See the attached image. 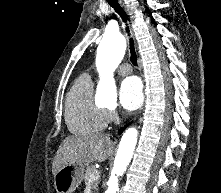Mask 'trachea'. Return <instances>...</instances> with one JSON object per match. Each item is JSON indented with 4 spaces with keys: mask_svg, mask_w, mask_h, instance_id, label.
Returning a JSON list of instances; mask_svg holds the SVG:
<instances>
[{
    "mask_svg": "<svg viewBox=\"0 0 221 193\" xmlns=\"http://www.w3.org/2000/svg\"><path fill=\"white\" fill-rule=\"evenodd\" d=\"M107 2L120 15L123 22H125L126 26H127V15L124 12V10L120 7V5L118 4V1L117 0H107ZM126 31H127L128 35L130 36L128 26L126 27ZM129 43H130V52H131V62L134 66H137V56L135 53L134 41L132 38L129 39Z\"/></svg>",
    "mask_w": 221,
    "mask_h": 193,
    "instance_id": "1",
    "label": "trachea"
}]
</instances>
